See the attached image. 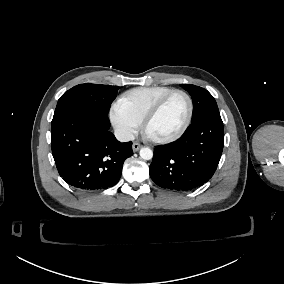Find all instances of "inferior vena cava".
<instances>
[{
  "instance_id": "obj_1",
  "label": "inferior vena cava",
  "mask_w": 284,
  "mask_h": 284,
  "mask_svg": "<svg viewBox=\"0 0 284 284\" xmlns=\"http://www.w3.org/2000/svg\"><path fill=\"white\" fill-rule=\"evenodd\" d=\"M115 136L119 141L122 142L133 141L135 139V136L132 132L122 128L115 130Z\"/></svg>"
}]
</instances>
